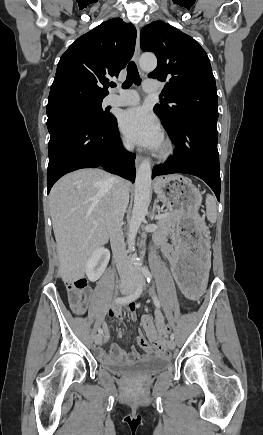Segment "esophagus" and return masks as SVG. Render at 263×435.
Instances as JSON below:
<instances>
[{"label": "esophagus", "mask_w": 263, "mask_h": 435, "mask_svg": "<svg viewBox=\"0 0 263 435\" xmlns=\"http://www.w3.org/2000/svg\"><path fill=\"white\" fill-rule=\"evenodd\" d=\"M140 53H141V50H140V31H139V28H137V36H136V44H135V52H134V61L136 63L139 62ZM141 161H142V156L137 155L136 159H135L136 166H139Z\"/></svg>", "instance_id": "1"}]
</instances>
